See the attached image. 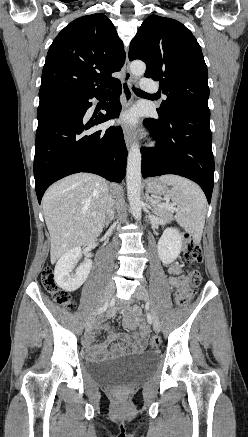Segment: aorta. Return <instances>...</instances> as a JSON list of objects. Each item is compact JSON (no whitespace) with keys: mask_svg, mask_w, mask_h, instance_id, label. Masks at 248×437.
Returning a JSON list of instances; mask_svg holds the SVG:
<instances>
[{"mask_svg":"<svg viewBox=\"0 0 248 437\" xmlns=\"http://www.w3.org/2000/svg\"><path fill=\"white\" fill-rule=\"evenodd\" d=\"M146 70V65L142 61H133L130 65V71L135 78L141 77ZM141 161L142 156L140 148L137 142L131 145L127 158V172H126V182H127V196L130 203L131 212L136 220L141 219Z\"/></svg>","mask_w":248,"mask_h":437,"instance_id":"762f6f07","label":"aorta"}]
</instances>
